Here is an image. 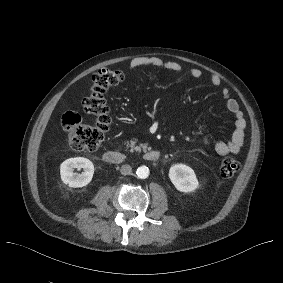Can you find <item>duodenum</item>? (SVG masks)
<instances>
[{"instance_id": "410a0bca", "label": "duodenum", "mask_w": 283, "mask_h": 283, "mask_svg": "<svg viewBox=\"0 0 283 283\" xmlns=\"http://www.w3.org/2000/svg\"><path fill=\"white\" fill-rule=\"evenodd\" d=\"M160 157H161L160 152L156 150L147 151L143 155V159L149 162L158 161ZM103 159L105 162L110 164H121L127 160V156L120 151L111 150L104 153Z\"/></svg>"}]
</instances>
